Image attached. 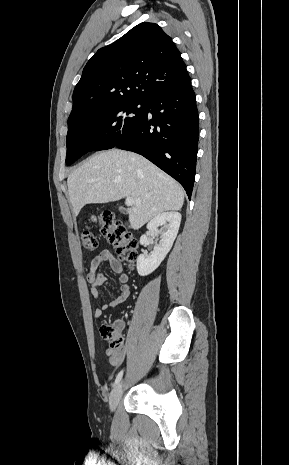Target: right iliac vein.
<instances>
[{
	"instance_id": "1",
	"label": "right iliac vein",
	"mask_w": 289,
	"mask_h": 465,
	"mask_svg": "<svg viewBox=\"0 0 289 465\" xmlns=\"http://www.w3.org/2000/svg\"><path fill=\"white\" fill-rule=\"evenodd\" d=\"M122 393H123V383L120 382L114 387V389L112 390L110 394L109 405H110V410L112 412L116 409L121 399Z\"/></svg>"
}]
</instances>
